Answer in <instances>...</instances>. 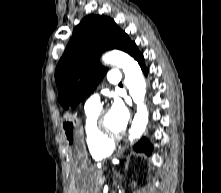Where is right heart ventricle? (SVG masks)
Listing matches in <instances>:
<instances>
[{"label": "right heart ventricle", "mask_w": 221, "mask_h": 193, "mask_svg": "<svg viewBox=\"0 0 221 193\" xmlns=\"http://www.w3.org/2000/svg\"><path fill=\"white\" fill-rule=\"evenodd\" d=\"M99 111L86 112L83 124L84 137L89 154L95 158H104L111 154L114 145L104 142L97 133L96 120Z\"/></svg>", "instance_id": "obj_1"}]
</instances>
